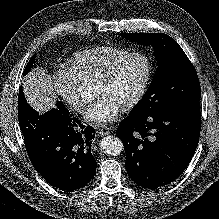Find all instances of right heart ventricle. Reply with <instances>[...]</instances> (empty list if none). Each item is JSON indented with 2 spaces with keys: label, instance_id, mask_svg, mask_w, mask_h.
<instances>
[{
  "label": "right heart ventricle",
  "instance_id": "right-heart-ventricle-1",
  "mask_svg": "<svg viewBox=\"0 0 219 219\" xmlns=\"http://www.w3.org/2000/svg\"><path fill=\"white\" fill-rule=\"evenodd\" d=\"M128 52L127 48L114 45L85 49L71 57V70L81 78H98L115 60Z\"/></svg>",
  "mask_w": 219,
  "mask_h": 219
}]
</instances>
